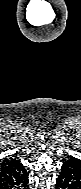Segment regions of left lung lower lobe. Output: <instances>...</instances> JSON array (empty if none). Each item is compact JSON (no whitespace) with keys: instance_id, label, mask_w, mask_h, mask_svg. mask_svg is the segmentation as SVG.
I'll list each match as a JSON object with an SVG mask.
<instances>
[{"instance_id":"obj_1","label":"left lung lower lobe","mask_w":81,"mask_h":189,"mask_svg":"<svg viewBox=\"0 0 81 189\" xmlns=\"http://www.w3.org/2000/svg\"><path fill=\"white\" fill-rule=\"evenodd\" d=\"M56 189H81V160L71 157L63 162Z\"/></svg>"}]
</instances>
